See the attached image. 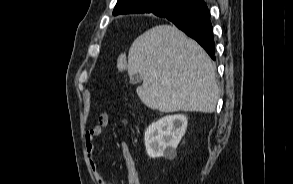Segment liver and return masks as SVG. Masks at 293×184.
<instances>
[{"label":"liver","mask_w":293,"mask_h":184,"mask_svg":"<svg viewBox=\"0 0 293 184\" xmlns=\"http://www.w3.org/2000/svg\"><path fill=\"white\" fill-rule=\"evenodd\" d=\"M128 74L139 73L140 100L160 112L212 113L219 98L215 66L205 50L175 26H155L137 37Z\"/></svg>","instance_id":"liver-1"}]
</instances>
